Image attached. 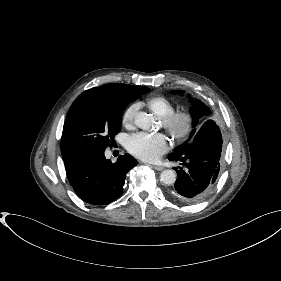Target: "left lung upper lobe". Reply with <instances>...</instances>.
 Instances as JSON below:
<instances>
[{
	"instance_id": "obj_1",
	"label": "left lung upper lobe",
	"mask_w": 281,
	"mask_h": 281,
	"mask_svg": "<svg viewBox=\"0 0 281 281\" xmlns=\"http://www.w3.org/2000/svg\"><path fill=\"white\" fill-rule=\"evenodd\" d=\"M174 93L182 94L180 91H174ZM191 103H192V108H191V114L193 117V125L196 126L198 123V120L203 118L206 119L210 115V109L200 100L198 99H192L191 98ZM196 135V130L194 129L190 135V138L185 141L183 144L177 146L174 150L173 153L170 155H181L184 153L186 146L188 143H190L194 136Z\"/></svg>"
}]
</instances>
